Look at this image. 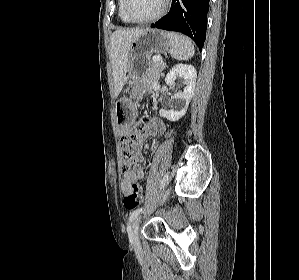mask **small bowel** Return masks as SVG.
Instances as JSON below:
<instances>
[{"mask_svg":"<svg viewBox=\"0 0 299 280\" xmlns=\"http://www.w3.org/2000/svg\"><path fill=\"white\" fill-rule=\"evenodd\" d=\"M146 133H142V136H137L138 141L135 148V154L133 158V166L128 170H123V177L121 181V189L124 194H128L131 192L133 184L140 182L144 178V171L140 164L143 162V154H142V147L143 142L155 136H160L165 133V126L161 120L157 118L149 119L148 125L145 127ZM130 128L125 127L122 130V134L124 136L129 135ZM159 144L155 143L152 146V151L155 152L158 150Z\"/></svg>","mask_w":299,"mask_h":280,"instance_id":"1","label":"small bowel"}]
</instances>
